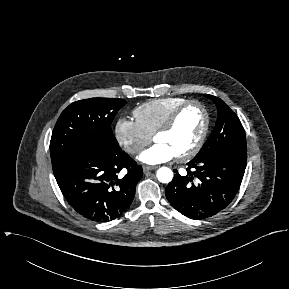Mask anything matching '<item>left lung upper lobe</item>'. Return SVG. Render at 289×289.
<instances>
[{
    "mask_svg": "<svg viewBox=\"0 0 289 289\" xmlns=\"http://www.w3.org/2000/svg\"><path fill=\"white\" fill-rule=\"evenodd\" d=\"M205 96L215 103L218 118L208 140L193 159H204L225 150H246L245 131L236 114L220 98Z\"/></svg>",
    "mask_w": 289,
    "mask_h": 289,
    "instance_id": "1",
    "label": "left lung upper lobe"
}]
</instances>
